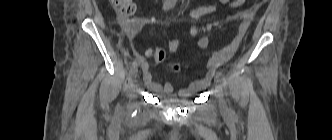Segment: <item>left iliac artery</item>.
Masks as SVG:
<instances>
[{
  "label": "left iliac artery",
  "mask_w": 332,
  "mask_h": 140,
  "mask_svg": "<svg viewBox=\"0 0 332 140\" xmlns=\"http://www.w3.org/2000/svg\"><path fill=\"white\" fill-rule=\"evenodd\" d=\"M217 75L221 77L223 84L226 87L227 82H226V77H225L224 73L222 71H218ZM230 112L233 113V110L231 108H230Z\"/></svg>",
  "instance_id": "left-iliac-artery-1"
}]
</instances>
